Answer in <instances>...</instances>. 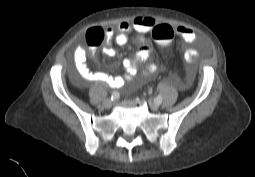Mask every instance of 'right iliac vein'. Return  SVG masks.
<instances>
[{
	"label": "right iliac vein",
	"mask_w": 255,
	"mask_h": 177,
	"mask_svg": "<svg viewBox=\"0 0 255 177\" xmlns=\"http://www.w3.org/2000/svg\"><path fill=\"white\" fill-rule=\"evenodd\" d=\"M112 104H113V101L110 98H108L103 101L102 105L104 108L109 109L112 106Z\"/></svg>",
	"instance_id": "1"
}]
</instances>
